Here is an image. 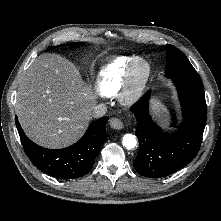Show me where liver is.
<instances>
[{
    "instance_id": "1",
    "label": "liver",
    "mask_w": 221,
    "mask_h": 221,
    "mask_svg": "<svg viewBox=\"0 0 221 221\" xmlns=\"http://www.w3.org/2000/svg\"><path fill=\"white\" fill-rule=\"evenodd\" d=\"M95 104L96 95L71 62L56 54H43L20 81L16 112L32 141L58 149L82 137Z\"/></svg>"
}]
</instances>
